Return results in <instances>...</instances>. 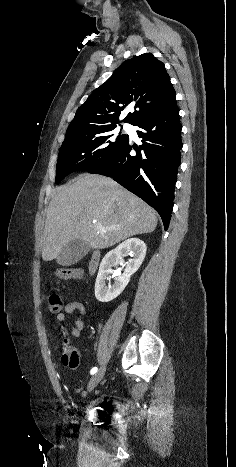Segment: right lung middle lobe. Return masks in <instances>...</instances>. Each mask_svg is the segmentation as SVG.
Instances as JSON below:
<instances>
[{
    "mask_svg": "<svg viewBox=\"0 0 236 467\" xmlns=\"http://www.w3.org/2000/svg\"><path fill=\"white\" fill-rule=\"evenodd\" d=\"M116 125L66 135L60 148L55 183L75 171H88L102 164L128 141L129 136L114 131Z\"/></svg>",
    "mask_w": 236,
    "mask_h": 467,
    "instance_id": "obj_1",
    "label": "right lung middle lobe"
}]
</instances>
